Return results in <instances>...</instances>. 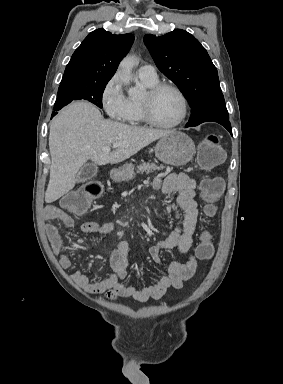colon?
I'll return each mask as SVG.
<instances>
[{
	"instance_id": "obj_1",
	"label": "colon",
	"mask_w": 283,
	"mask_h": 384,
	"mask_svg": "<svg viewBox=\"0 0 283 384\" xmlns=\"http://www.w3.org/2000/svg\"><path fill=\"white\" fill-rule=\"evenodd\" d=\"M198 159L205 169L217 166L224 159V151L216 134H208L199 144ZM225 184L220 177H211L202 180L200 194L205 202V214L211 217L215 213L214 204L221 198ZM103 185L99 181L84 184L78 190L71 192L61 201V206L75 214L86 212L91 204L101 196ZM214 247L208 233H203L196 249V255L201 260H208L213 256Z\"/></svg>"
}]
</instances>
